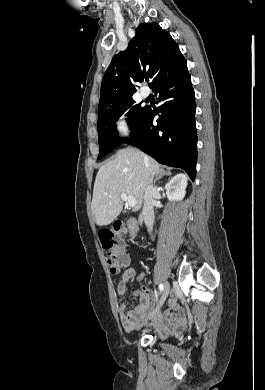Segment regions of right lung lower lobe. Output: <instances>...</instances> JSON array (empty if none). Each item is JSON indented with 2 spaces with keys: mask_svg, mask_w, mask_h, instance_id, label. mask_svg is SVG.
Instances as JSON below:
<instances>
[{
  "mask_svg": "<svg viewBox=\"0 0 265 390\" xmlns=\"http://www.w3.org/2000/svg\"><path fill=\"white\" fill-rule=\"evenodd\" d=\"M160 106H149L141 123L124 142L135 145L161 164L184 169L194 180L197 161L195 97L186 60L153 88ZM161 114L157 126L155 114Z\"/></svg>",
  "mask_w": 265,
  "mask_h": 390,
  "instance_id": "right-lung-lower-lobe-1",
  "label": "right lung lower lobe"
}]
</instances>
